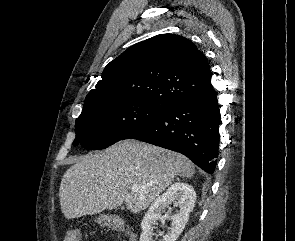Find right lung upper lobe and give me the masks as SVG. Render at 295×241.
Returning <instances> with one entry per match:
<instances>
[{
	"label": "right lung upper lobe",
	"instance_id": "cb5924a9",
	"mask_svg": "<svg viewBox=\"0 0 295 241\" xmlns=\"http://www.w3.org/2000/svg\"><path fill=\"white\" fill-rule=\"evenodd\" d=\"M211 87V71L204 54L187 38L160 34L131 46L111 61L88 95L113 91L164 108Z\"/></svg>",
	"mask_w": 295,
	"mask_h": 241
}]
</instances>
